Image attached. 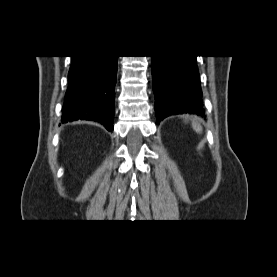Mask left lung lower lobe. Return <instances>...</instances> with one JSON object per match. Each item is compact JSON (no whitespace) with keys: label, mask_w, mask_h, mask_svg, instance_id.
Listing matches in <instances>:
<instances>
[{"label":"left lung lower lobe","mask_w":277,"mask_h":277,"mask_svg":"<svg viewBox=\"0 0 277 277\" xmlns=\"http://www.w3.org/2000/svg\"><path fill=\"white\" fill-rule=\"evenodd\" d=\"M151 70L157 124L175 114L205 116L196 56H152Z\"/></svg>","instance_id":"obj_1"}]
</instances>
